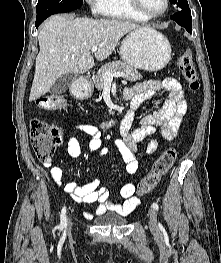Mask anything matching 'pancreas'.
Returning a JSON list of instances; mask_svg holds the SVG:
<instances>
[{"instance_id":"obj_1","label":"pancreas","mask_w":221,"mask_h":263,"mask_svg":"<svg viewBox=\"0 0 221 263\" xmlns=\"http://www.w3.org/2000/svg\"><path fill=\"white\" fill-rule=\"evenodd\" d=\"M121 72L125 74V79L130 82H136L143 78V76L134 68L130 67L129 65L125 64L122 61H113L110 63L105 64L104 66L99 69L95 78L94 84L95 87L101 91L104 88L105 80H104V73L105 72ZM111 113V111H110Z\"/></svg>"}]
</instances>
